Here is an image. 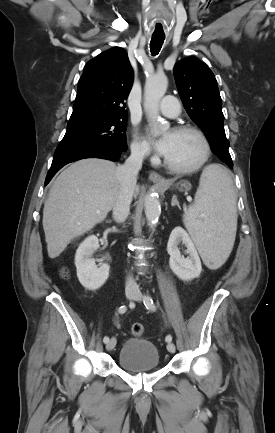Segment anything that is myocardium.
Segmentation results:
<instances>
[{"mask_svg": "<svg viewBox=\"0 0 275 433\" xmlns=\"http://www.w3.org/2000/svg\"><path fill=\"white\" fill-rule=\"evenodd\" d=\"M173 131L177 133H191L197 136L203 144V156L198 163L191 167H178L171 164L166 158H164L163 163L165 167L171 172L181 175L193 174L199 171L208 162L212 153L211 143L207 135L201 129L190 125L177 126Z\"/></svg>", "mask_w": 275, "mask_h": 433, "instance_id": "myocardium-1", "label": "myocardium"}]
</instances>
